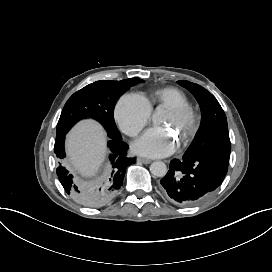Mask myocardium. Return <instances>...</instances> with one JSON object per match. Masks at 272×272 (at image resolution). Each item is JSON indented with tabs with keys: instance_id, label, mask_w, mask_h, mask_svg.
Returning a JSON list of instances; mask_svg holds the SVG:
<instances>
[{
	"instance_id": "1",
	"label": "myocardium",
	"mask_w": 272,
	"mask_h": 272,
	"mask_svg": "<svg viewBox=\"0 0 272 272\" xmlns=\"http://www.w3.org/2000/svg\"><path fill=\"white\" fill-rule=\"evenodd\" d=\"M169 110L176 114L183 137L187 138L196 128L197 117L194 111L186 105H171Z\"/></svg>"
}]
</instances>
